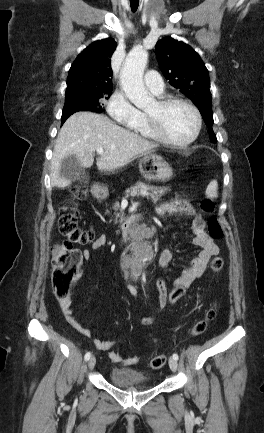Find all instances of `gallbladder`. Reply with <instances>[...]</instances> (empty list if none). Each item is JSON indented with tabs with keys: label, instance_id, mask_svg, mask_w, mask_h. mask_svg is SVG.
Listing matches in <instances>:
<instances>
[{
	"label": "gallbladder",
	"instance_id": "bac80fb5",
	"mask_svg": "<svg viewBox=\"0 0 264 433\" xmlns=\"http://www.w3.org/2000/svg\"><path fill=\"white\" fill-rule=\"evenodd\" d=\"M59 174L69 182L88 179V174L81 167L75 155L67 156L62 160Z\"/></svg>",
	"mask_w": 264,
	"mask_h": 433
}]
</instances>
